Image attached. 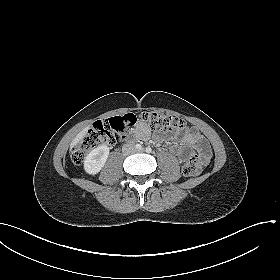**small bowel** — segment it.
<instances>
[{"instance_id": "c3829d8e", "label": "small bowel", "mask_w": 280, "mask_h": 280, "mask_svg": "<svg viewBox=\"0 0 280 280\" xmlns=\"http://www.w3.org/2000/svg\"><path fill=\"white\" fill-rule=\"evenodd\" d=\"M150 132L144 124H138L134 130L133 137L140 140L149 138ZM187 148H195L198 152H210L209 144L199 131L195 129L188 130L182 137V145H173L170 150L173 154L181 157ZM211 154V152H210ZM210 156V155H209Z\"/></svg>"}]
</instances>
